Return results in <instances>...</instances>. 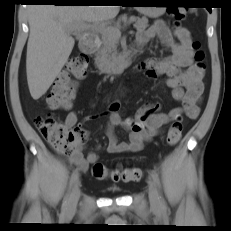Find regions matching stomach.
Wrapping results in <instances>:
<instances>
[{
    "label": "stomach",
    "instance_id": "obj_1",
    "mask_svg": "<svg viewBox=\"0 0 231 231\" xmlns=\"http://www.w3.org/2000/svg\"><path fill=\"white\" fill-rule=\"evenodd\" d=\"M162 1H145L144 4H160ZM165 7H152V5H146L143 7H137V11L149 17H158L165 12Z\"/></svg>",
    "mask_w": 231,
    "mask_h": 231
}]
</instances>
